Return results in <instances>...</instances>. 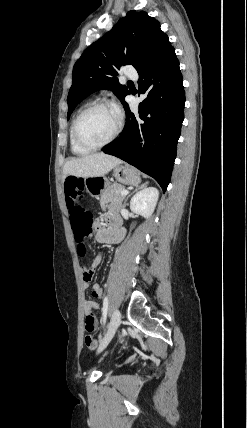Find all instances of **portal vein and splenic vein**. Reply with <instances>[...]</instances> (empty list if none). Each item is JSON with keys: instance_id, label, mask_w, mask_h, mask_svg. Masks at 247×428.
I'll return each mask as SVG.
<instances>
[{"instance_id": "1", "label": "portal vein and splenic vein", "mask_w": 247, "mask_h": 428, "mask_svg": "<svg viewBox=\"0 0 247 428\" xmlns=\"http://www.w3.org/2000/svg\"><path fill=\"white\" fill-rule=\"evenodd\" d=\"M127 194H128V190L124 189V190L121 191V195H127Z\"/></svg>"}]
</instances>
